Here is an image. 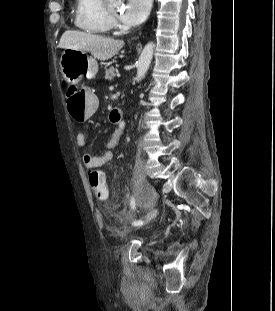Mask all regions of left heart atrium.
<instances>
[{
  "instance_id": "39dd6f15",
  "label": "left heart atrium",
  "mask_w": 275,
  "mask_h": 311,
  "mask_svg": "<svg viewBox=\"0 0 275 311\" xmlns=\"http://www.w3.org/2000/svg\"><path fill=\"white\" fill-rule=\"evenodd\" d=\"M151 2L152 0H127L120 15L121 20L128 26L142 23L149 14Z\"/></svg>"
}]
</instances>
